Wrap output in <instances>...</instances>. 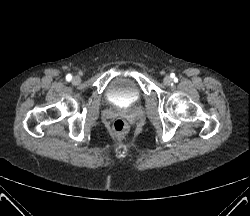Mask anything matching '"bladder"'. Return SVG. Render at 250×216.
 <instances>
[{"instance_id": "bladder-1", "label": "bladder", "mask_w": 250, "mask_h": 216, "mask_svg": "<svg viewBox=\"0 0 250 216\" xmlns=\"http://www.w3.org/2000/svg\"><path fill=\"white\" fill-rule=\"evenodd\" d=\"M106 94L108 100L118 107H130L141 98V92L135 80L123 74L110 82Z\"/></svg>"}]
</instances>
